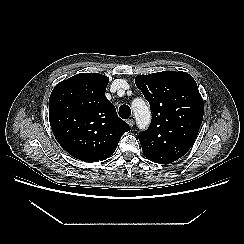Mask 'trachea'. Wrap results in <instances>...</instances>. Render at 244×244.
<instances>
[{
	"label": "trachea",
	"mask_w": 244,
	"mask_h": 244,
	"mask_svg": "<svg viewBox=\"0 0 244 244\" xmlns=\"http://www.w3.org/2000/svg\"><path fill=\"white\" fill-rule=\"evenodd\" d=\"M118 113L122 119H127L131 115V109L128 105H121Z\"/></svg>",
	"instance_id": "trachea-1"
}]
</instances>
